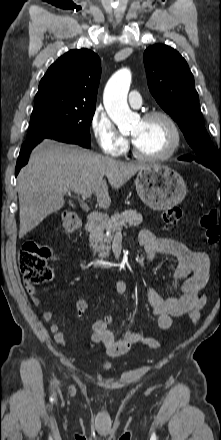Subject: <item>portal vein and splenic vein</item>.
Returning <instances> with one entry per match:
<instances>
[{
  "label": "portal vein and splenic vein",
  "mask_w": 221,
  "mask_h": 440,
  "mask_svg": "<svg viewBox=\"0 0 221 440\" xmlns=\"http://www.w3.org/2000/svg\"><path fill=\"white\" fill-rule=\"evenodd\" d=\"M91 195H92V192H85V193H82V194H81V196H82L83 199H87V198H89Z\"/></svg>",
  "instance_id": "1"
}]
</instances>
